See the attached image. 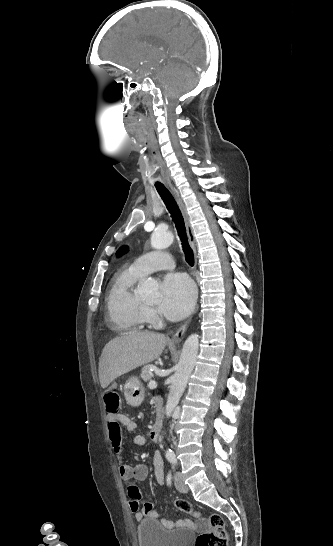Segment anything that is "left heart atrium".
<instances>
[{"label":"left heart atrium","mask_w":333,"mask_h":546,"mask_svg":"<svg viewBox=\"0 0 333 546\" xmlns=\"http://www.w3.org/2000/svg\"><path fill=\"white\" fill-rule=\"evenodd\" d=\"M160 311L171 320L186 317L195 303V287L187 275H166L161 288Z\"/></svg>","instance_id":"obj_1"}]
</instances>
